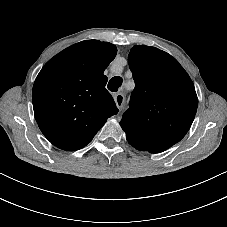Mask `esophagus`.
Instances as JSON below:
<instances>
[{
    "label": "esophagus",
    "instance_id": "obj_1",
    "mask_svg": "<svg viewBox=\"0 0 227 227\" xmlns=\"http://www.w3.org/2000/svg\"><path fill=\"white\" fill-rule=\"evenodd\" d=\"M114 101L116 102L118 109H121L125 102V95L123 93L116 94L114 96Z\"/></svg>",
    "mask_w": 227,
    "mask_h": 227
}]
</instances>
